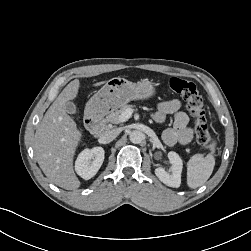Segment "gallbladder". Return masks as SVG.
Wrapping results in <instances>:
<instances>
[{"label":"gallbladder","instance_id":"obj_1","mask_svg":"<svg viewBox=\"0 0 251 251\" xmlns=\"http://www.w3.org/2000/svg\"><path fill=\"white\" fill-rule=\"evenodd\" d=\"M65 110L69 114H75L76 113V106L73 102L68 101L65 104Z\"/></svg>","mask_w":251,"mask_h":251}]
</instances>
